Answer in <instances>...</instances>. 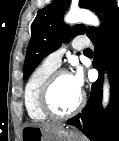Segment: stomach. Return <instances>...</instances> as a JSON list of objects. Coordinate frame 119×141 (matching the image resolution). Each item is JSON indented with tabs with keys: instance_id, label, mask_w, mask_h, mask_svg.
<instances>
[{
	"instance_id": "stomach-1",
	"label": "stomach",
	"mask_w": 119,
	"mask_h": 141,
	"mask_svg": "<svg viewBox=\"0 0 119 141\" xmlns=\"http://www.w3.org/2000/svg\"><path fill=\"white\" fill-rule=\"evenodd\" d=\"M21 141H82L80 135L73 131L62 129H46L39 126H24Z\"/></svg>"
}]
</instances>
